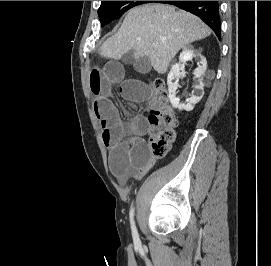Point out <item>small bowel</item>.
Segmentation results:
<instances>
[{
	"mask_svg": "<svg viewBox=\"0 0 271 266\" xmlns=\"http://www.w3.org/2000/svg\"><path fill=\"white\" fill-rule=\"evenodd\" d=\"M134 66L147 69V63L137 60ZM118 85L121 95L132 102H142L150 96L147 86L135 79L125 78V67L119 61H108L101 68H94L89 74V87L93 95V111L100 123L102 140L109 148V165L112 173L124 183L129 175L136 179L154 165L144 136L148 123L143 115L123 122L112 96L113 87Z\"/></svg>",
	"mask_w": 271,
	"mask_h": 266,
	"instance_id": "small-bowel-1",
	"label": "small bowel"
}]
</instances>
